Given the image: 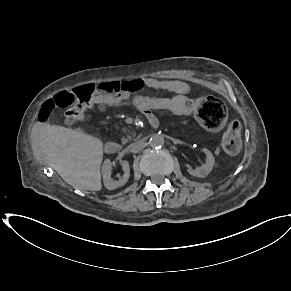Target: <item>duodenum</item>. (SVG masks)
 <instances>
[{"mask_svg": "<svg viewBox=\"0 0 291 291\" xmlns=\"http://www.w3.org/2000/svg\"><path fill=\"white\" fill-rule=\"evenodd\" d=\"M152 123H154V120H150ZM121 149L120 144L116 143V142H107L104 146V150L106 153L112 154V153H116Z\"/></svg>", "mask_w": 291, "mask_h": 291, "instance_id": "410a0bca", "label": "duodenum"}]
</instances>
